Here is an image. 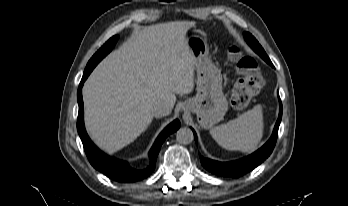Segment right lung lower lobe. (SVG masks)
<instances>
[{"label": "right lung lower lobe", "mask_w": 348, "mask_h": 206, "mask_svg": "<svg viewBox=\"0 0 348 206\" xmlns=\"http://www.w3.org/2000/svg\"><path fill=\"white\" fill-rule=\"evenodd\" d=\"M103 55H94L88 62L80 86L77 92L79 113L77 119V130L84 146L85 153L91 165L98 171L104 173L107 177L119 181V182H133L141 180L149 176L156 164V159L160 151L161 145L164 140L173 132L177 131L180 127L179 120L173 121L169 124L158 136L153 147L149 152L150 166L144 170L132 169L127 162L113 159L104 153H102L88 137L84 127V111H83V99H82V86L89 74L95 68V66L104 58Z\"/></svg>", "instance_id": "98d812e1"}]
</instances>
